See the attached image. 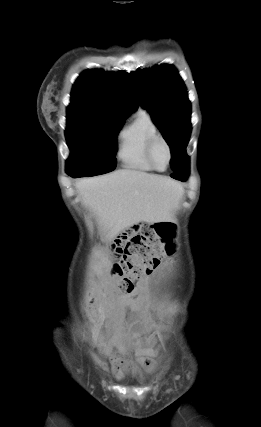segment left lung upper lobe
<instances>
[{"label":"left lung upper lobe","mask_w":261,"mask_h":427,"mask_svg":"<svg viewBox=\"0 0 261 427\" xmlns=\"http://www.w3.org/2000/svg\"><path fill=\"white\" fill-rule=\"evenodd\" d=\"M143 108L147 109L171 150L174 171L183 166L191 133V104L179 73L162 65L130 74Z\"/></svg>","instance_id":"obj_1"}]
</instances>
